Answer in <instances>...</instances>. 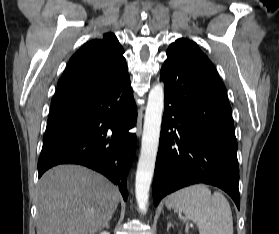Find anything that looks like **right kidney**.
<instances>
[{
  "mask_svg": "<svg viewBox=\"0 0 279 234\" xmlns=\"http://www.w3.org/2000/svg\"><path fill=\"white\" fill-rule=\"evenodd\" d=\"M99 234H110L108 231H102Z\"/></svg>",
  "mask_w": 279,
  "mask_h": 234,
  "instance_id": "ca27d5eb",
  "label": "right kidney"
}]
</instances>
